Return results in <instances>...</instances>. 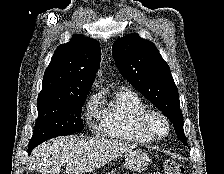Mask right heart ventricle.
Masks as SVG:
<instances>
[{
    "instance_id": "e07e8e85",
    "label": "right heart ventricle",
    "mask_w": 224,
    "mask_h": 174,
    "mask_svg": "<svg viewBox=\"0 0 224 174\" xmlns=\"http://www.w3.org/2000/svg\"><path fill=\"white\" fill-rule=\"evenodd\" d=\"M146 109L141 98L133 91L120 89L107 100L102 101L99 111V132L113 140L131 143H149L139 126V115Z\"/></svg>"
}]
</instances>
